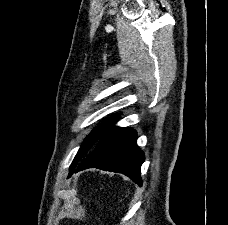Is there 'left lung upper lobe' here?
<instances>
[{"label":"left lung upper lobe","mask_w":228,"mask_h":225,"mask_svg":"<svg viewBox=\"0 0 228 225\" xmlns=\"http://www.w3.org/2000/svg\"><path fill=\"white\" fill-rule=\"evenodd\" d=\"M111 126H113L112 123L107 122L100 127L96 128L91 132L90 135L84 140L83 144L81 145V148L79 149L77 155L75 156L71 166H70V173L76 168V166L93 150L95 144L98 142L100 137L103 135V133L108 130ZM69 173V174H70Z\"/></svg>","instance_id":"5c2ea615"}]
</instances>
